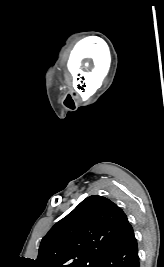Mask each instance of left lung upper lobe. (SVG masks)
Listing matches in <instances>:
<instances>
[{"instance_id": "1", "label": "left lung upper lobe", "mask_w": 164, "mask_h": 267, "mask_svg": "<svg viewBox=\"0 0 164 267\" xmlns=\"http://www.w3.org/2000/svg\"><path fill=\"white\" fill-rule=\"evenodd\" d=\"M127 216L109 199L92 195L43 237L35 267H98Z\"/></svg>"}]
</instances>
